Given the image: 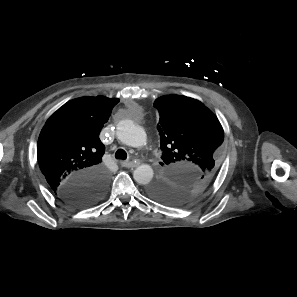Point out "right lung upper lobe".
Segmentation results:
<instances>
[{
    "label": "right lung upper lobe",
    "instance_id": "obj_1",
    "mask_svg": "<svg viewBox=\"0 0 297 297\" xmlns=\"http://www.w3.org/2000/svg\"><path fill=\"white\" fill-rule=\"evenodd\" d=\"M118 102L104 96L77 98L47 120L38 139L37 158L56 195L81 173L106 172L101 164L105 146L99 133Z\"/></svg>",
    "mask_w": 297,
    "mask_h": 297
}]
</instances>
